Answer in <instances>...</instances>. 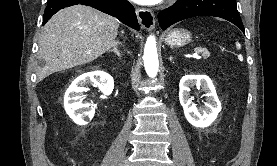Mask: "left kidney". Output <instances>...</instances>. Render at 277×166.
Here are the masks:
<instances>
[{"instance_id": "obj_1", "label": "left kidney", "mask_w": 277, "mask_h": 166, "mask_svg": "<svg viewBox=\"0 0 277 166\" xmlns=\"http://www.w3.org/2000/svg\"><path fill=\"white\" fill-rule=\"evenodd\" d=\"M196 86L206 93V102L201 108L192 103L190 88ZM179 100L184 109L187 121L194 127L205 128L211 125L221 111V103L217 97L211 79L206 75H185L179 84Z\"/></svg>"}]
</instances>
